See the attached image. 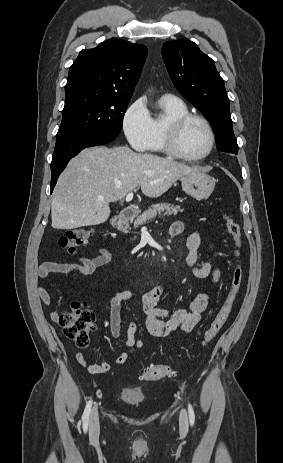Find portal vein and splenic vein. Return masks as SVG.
Wrapping results in <instances>:
<instances>
[{
    "mask_svg": "<svg viewBox=\"0 0 283 463\" xmlns=\"http://www.w3.org/2000/svg\"><path fill=\"white\" fill-rule=\"evenodd\" d=\"M133 192H129L127 195H126V201L127 202H130L132 199H133ZM100 200H103V198H100Z\"/></svg>",
    "mask_w": 283,
    "mask_h": 463,
    "instance_id": "1",
    "label": "portal vein and splenic vein"
}]
</instances>
